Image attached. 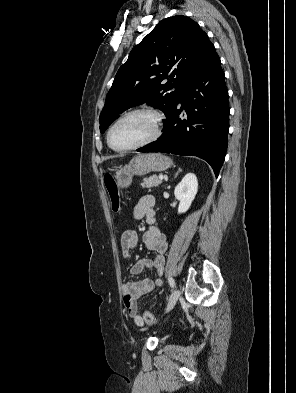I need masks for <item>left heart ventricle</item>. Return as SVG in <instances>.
I'll return each mask as SVG.
<instances>
[{
	"label": "left heart ventricle",
	"mask_w": 296,
	"mask_h": 393,
	"mask_svg": "<svg viewBox=\"0 0 296 393\" xmlns=\"http://www.w3.org/2000/svg\"><path fill=\"white\" fill-rule=\"evenodd\" d=\"M153 132V118L145 114H135L116 125L111 141L115 147L125 148L146 140Z\"/></svg>",
	"instance_id": "b2bd125f"
}]
</instances>
